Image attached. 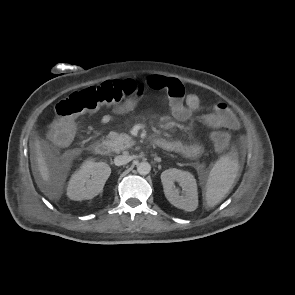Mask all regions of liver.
<instances>
[{
	"mask_svg": "<svg viewBox=\"0 0 295 295\" xmlns=\"http://www.w3.org/2000/svg\"><path fill=\"white\" fill-rule=\"evenodd\" d=\"M35 147H36V154H37V164H38V170L41 175V178L47 185H51V174L48 168V165L46 163L45 157L43 156L41 152L40 147V141L38 138L35 140Z\"/></svg>",
	"mask_w": 295,
	"mask_h": 295,
	"instance_id": "obj_1",
	"label": "liver"
}]
</instances>
